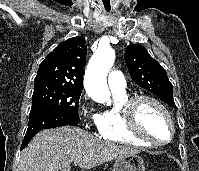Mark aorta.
<instances>
[{"label":"aorta","mask_w":199,"mask_h":171,"mask_svg":"<svg viewBox=\"0 0 199 171\" xmlns=\"http://www.w3.org/2000/svg\"><path fill=\"white\" fill-rule=\"evenodd\" d=\"M115 52L107 47H99L91 57L85 72V89L96 102L110 103V91L107 85V74L113 66Z\"/></svg>","instance_id":"aorta-1"}]
</instances>
